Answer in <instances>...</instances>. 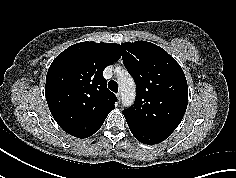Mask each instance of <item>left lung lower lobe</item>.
Wrapping results in <instances>:
<instances>
[{
  "instance_id": "left-lung-lower-lobe-1",
  "label": "left lung lower lobe",
  "mask_w": 236,
  "mask_h": 178,
  "mask_svg": "<svg viewBox=\"0 0 236 178\" xmlns=\"http://www.w3.org/2000/svg\"><path fill=\"white\" fill-rule=\"evenodd\" d=\"M128 126L135 138L144 144H157L170 136V134L142 128L134 124L128 123Z\"/></svg>"
}]
</instances>
